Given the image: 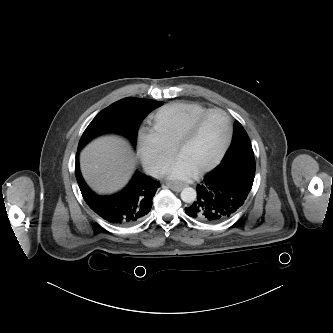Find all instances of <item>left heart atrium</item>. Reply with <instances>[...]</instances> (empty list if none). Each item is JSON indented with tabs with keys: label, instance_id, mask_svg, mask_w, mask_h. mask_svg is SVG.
<instances>
[{
	"label": "left heart atrium",
	"instance_id": "left-heart-atrium-1",
	"mask_svg": "<svg viewBox=\"0 0 333 333\" xmlns=\"http://www.w3.org/2000/svg\"><path fill=\"white\" fill-rule=\"evenodd\" d=\"M193 172L194 170L178 157L165 169V174L171 179H185Z\"/></svg>",
	"mask_w": 333,
	"mask_h": 333
}]
</instances>
